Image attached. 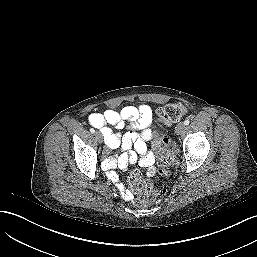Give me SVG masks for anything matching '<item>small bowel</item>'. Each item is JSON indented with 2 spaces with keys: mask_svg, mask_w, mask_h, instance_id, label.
Wrapping results in <instances>:
<instances>
[{
  "mask_svg": "<svg viewBox=\"0 0 257 257\" xmlns=\"http://www.w3.org/2000/svg\"><path fill=\"white\" fill-rule=\"evenodd\" d=\"M88 121L90 125L100 130L109 148L121 147L123 149L120 155L107 157L103 162V169L115 183L121 196L126 200H132L131 192L124 187L113 169L125 171L130 164L138 163L148 170V176H153L155 156L146 145L153 137L151 108L140 104L128 105L120 110L107 109L103 113H91ZM110 126H115L122 132L114 133Z\"/></svg>",
  "mask_w": 257,
  "mask_h": 257,
  "instance_id": "obj_1",
  "label": "small bowel"
}]
</instances>
